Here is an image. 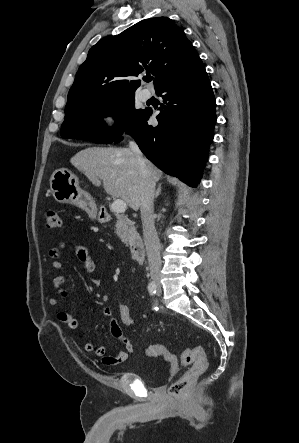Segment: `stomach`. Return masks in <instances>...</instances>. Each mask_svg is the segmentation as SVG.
Returning a JSON list of instances; mask_svg holds the SVG:
<instances>
[{
    "instance_id": "0dacf381",
    "label": "stomach",
    "mask_w": 299,
    "mask_h": 443,
    "mask_svg": "<svg viewBox=\"0 0 299 443\" xmlns=\"http://www.w3.org/2000/svg\"><path fill=\"white\" fill-rule=\"evenodd\" d=\"M50 189L57 202L75 205L85 210L92 219L97 218L94 199L80 189L77 176L68 169L60 168L53 172L50 178ZM98 220L100 221L99 216Z\"/></svg>"
}]
</instances>
